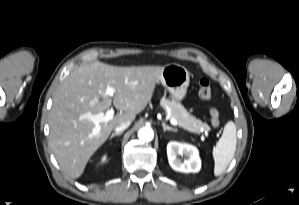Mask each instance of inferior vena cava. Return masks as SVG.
Wrapping results in <instances>:
<instances>
[{
    "label": "inferior vena cava",
    "instance_id": "602c4592",
    "mask_svg": "<svg viewBox=\"0 0 299 205\" xmlns=\"http://www.w3.org/2000/svg\"><path fill=\"white\" fill-rule=\"evenodd\" d=\"M131 122L130 121H125L121 123L120 125L115 127V132H123L125 129H127L130 126Z\"/></svg>",
    "mask_w": 299,
    "mask_h": 205
}]
</instances>
